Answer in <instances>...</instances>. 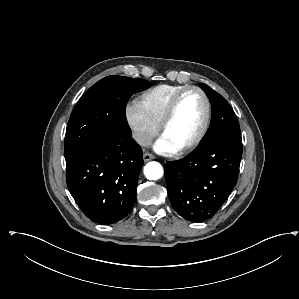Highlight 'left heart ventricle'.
Returning <instances> with one entry per match:
<instances>
[{"mask_svg": "<svg viewBox=\"0 0 299 299\" xmlns=\"http://www.w3.org/2000/svg\"><path fill=\"white\" fill-rule=\"evenodd\" d=\"M204 101L195 91L187 92L165 129L163 137L177 148L189 142L198 132L204 118Z\"/></svg>", "mask_w": 299, "mask_h": 299, "instance_id": "left-heart-ventricle-1", "label": "left heart ventricle"}]
</instances>
